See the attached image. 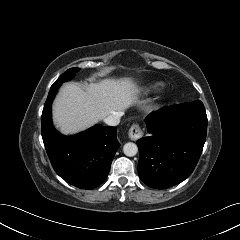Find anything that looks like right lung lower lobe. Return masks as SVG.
Here are the masks:
<instances>
[{
	"label": "right lung lower lobe",
	"instance_id": "right-lung-lower-lobe-1",
	"mask_svg": "<svg viewBox=\"0 0 240 240\" xmlns=\"http://www.w3.org/2000/svg\"><path fill=\"white\" fill-rule=\"evenodd\" d=\"M57 90L48 94L42 116V138L56 173L69 184L91 190L107 178L111 162L120 144L116 127L95 125L70 137L58 133L52 125L51 105Z\"/></svg>",
	"mask_w": 240,
	"mask_h": 240
}]
</instances>
